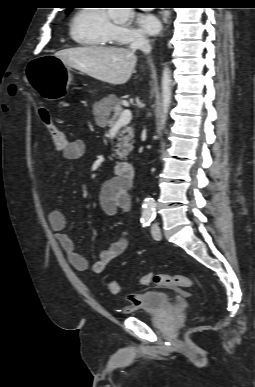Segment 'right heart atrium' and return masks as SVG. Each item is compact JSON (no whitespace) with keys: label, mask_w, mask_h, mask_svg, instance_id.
<instances>
[{"label":"right heart atrium","mask_w":255,"mask_h":387,"mask_svg":"<svg viewBox=\"0 0 255 387\" xmlns=\"http://www.w3.org/2000/svg\"><path fill=\"white\" fill-rule=\"evenodd\" d=\"M113 41L121 45H129L145 41V36L136 29L128 25H113Z\"/></svg>","instance_id":"1"}]
</instances>
